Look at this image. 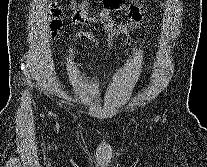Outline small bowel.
Masks as SVG:
<instances>
[{"instance_id":"1","label":"small bowel","mask_w":207,"mask_h":167,"mask_svg":"<svg viewBox=\"0 0 207 167\" xmlns=\"http://www.w3.org/2000/svg\"><path fill=\"white\" fill-rule=\"evenodd\" d=\"M73 9L75 10L74 23L82 25L97 24L107 35V46L111 48L114 37L123 33L128 35L127 43L131 42V33L140 28L142 12L145 11L143 4H138L124 11L121 6V0H103L105 9L96 15L88 12L89 0H71ZM112 13H120L125 16L124 21H116ZM75 36H83L91 41L94 45H98L97 38L90 32H77Z\"/></svg>"}]
</instances>
